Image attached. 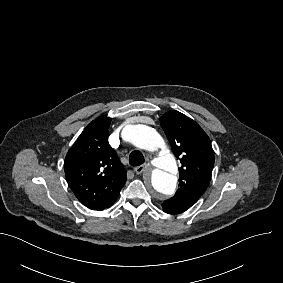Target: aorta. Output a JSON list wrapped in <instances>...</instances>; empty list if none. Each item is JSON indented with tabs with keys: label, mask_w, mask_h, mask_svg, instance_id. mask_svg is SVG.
Returning a JSON list of instances; mask_svg holds the SVG:
<instances>
[{
	"label": "aorta",
	"mask_w": 283,
	"mask_h": 283,
	"mask_svg": "<svg viewBox=\"0 0 283 283\" xmlns=\"http://www.w3.org/2000/svg\"><path fill=\"white\" fill-rule=\"evenodd\" d=\"M129 133L128 140L140 149L155 151L158 148L163 153L155 159L154 164L157 166L152 173L149 184L157 192L164 195H172L177 185V163L174 155L166 150V144L160 134L153 128L138 124L127 128Z\"/></svg>",
	"instance_id": "762f6f07"
}]
</instances>
